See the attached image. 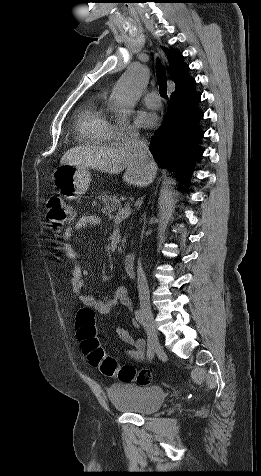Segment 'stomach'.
<instances>
[{
  "instance_id": "stomach-1",
  "label": "stomach",
  "mask_w": 261,
  "mask_h": 476,
  "mask_svg": "<svg viewBox=\"0 0 261 476\" xmlns=\"http://www.w3.org/2000/svg\"><path fill=\"white\" fill-rule=\"evenodd\" d=\"M55 186L68 199H77L88 190L91 175L87 168L61 165L53 173Z\"/></svg>"
}]
</instances>
